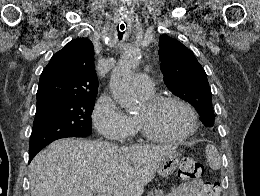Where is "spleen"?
<instances>
[{
	"label": "spleen",
	"instance_id": "1",
	"mask_svg": "<svg viewBox=\"0 0 260 196\" xmlns=\"http://www.w3.org/2000/svg\"><path fill=\"white\" fill-rule=\"evenodd\" d=\"M205 154L211 170H220L222 166L221 158L215 146H212V144H208V146H206L205 148Z\"/></svg>",
	"mask_w": 260,
	"mask_h": 196
}]
</instances>
